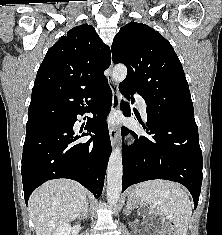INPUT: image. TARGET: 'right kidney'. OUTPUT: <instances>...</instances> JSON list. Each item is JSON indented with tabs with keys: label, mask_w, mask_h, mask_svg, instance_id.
<instances>
[{
	"label": "right kidney",
	"mask_w": 222,
	"mask_h": 235,
	"mask_svg": "<svg viewBox=\"0 0 222 235\" xmlns=\"http://www.w3.org/2000/svg\"><path fill=\"white\" fill-rule=\"evenodd\" d=\"M71 225L66 223L57 228V230L52 235H71Z\"/></svg>",
	"instance_id": "obj_1"
}]
</instances>
